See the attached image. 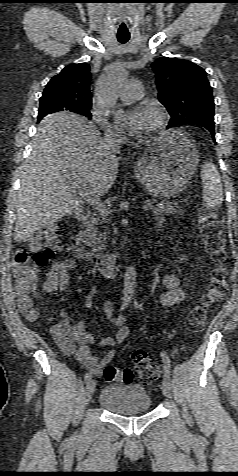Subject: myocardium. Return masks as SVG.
<instances>
[{"label": "myocardium", "mask_w": 238, "mask_h": 476, "mask_svg": "<svg viewBox=\"0 0 238 476\" xmlns=\"http://www.w3.org/2000/svg\"><path fill=\"white\" fill-rule=\"evenodd\" d=\"M145 105L147 107L153 109L156 113V116H157V121H156L155 125L149 130V134L153 135V134L159 132L164 127V125L166 123V119H167V114H166L165 109L157 103L148 102V103H145Z\"/></svg>", "instance_id": "obj_1"}]
</instances>
